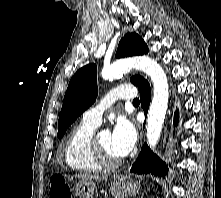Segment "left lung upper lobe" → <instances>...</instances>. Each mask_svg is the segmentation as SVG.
Returning <instances> with one entry per match:
<instances>
[{
    "label": "left lung upper lobe",
    "mask_w": 221,
    "mask_h": 198,
    "mask_svg": "<svg viewBox=\"0 0 221 198\" xmlns=\"http://www.w3.org/2000/svg\"><path fill=\"white\" fill-rule=\"evenodd\" d=\"M148 51L147 45L138 34L128 33L119 42L116 57L143 55ZM130 80L138 87L146 81L137 75ZM97 95V67L95 64H88L78 70L69 82L58 120V138L61 139L76 118L95 102Z\"/></svg>",
    "instance_id": "1"
}]
</instances>
